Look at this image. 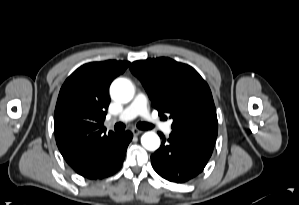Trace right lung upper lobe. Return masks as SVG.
Listing matches in <instances>:
<instances>
[{
  "label": "right lung upper lobe",
  "mask_w": 299,
  "mask_h": 205,
  "mask_svg": "<svg viewBox=\"0 0 299 205\" xmlns=\"http://www.w3.org/2000/svg\"><path fill=\"white\" fill-rule=\"evenodd\" d=\"M130 62L104 61L85 64L61 87L54 114L57 146L75 169L92 150L116 136L106 135L103 121L110 103L108 88Z\"/></svg>",
  "instance_id": "cb5924a9"
}]
</instances>
